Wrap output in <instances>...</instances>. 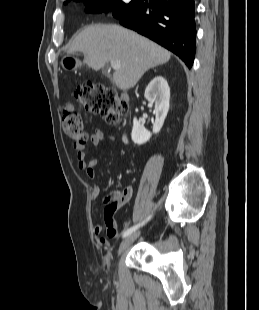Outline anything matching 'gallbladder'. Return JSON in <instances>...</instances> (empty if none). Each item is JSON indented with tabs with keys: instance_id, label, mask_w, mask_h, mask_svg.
<instances>
[{
	"instance_id": "1",
	"label": "gallbladder",
	"mask_w": 259,
	"mask_h": 310,
	"mask_svg": "<svg viewBox=\"0 0 259 310\" xmlns=\"http://www.w3.org/2000/svg\"><path fill=\"white\" fill-rule=\"evenodd\" d=\"M107 77H108L109 79H111V77H110L109 75H107Z\"/></svg>"
}]
</instances>
